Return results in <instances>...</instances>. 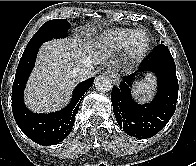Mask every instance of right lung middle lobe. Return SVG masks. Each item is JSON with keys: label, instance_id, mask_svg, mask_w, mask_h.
Listing matches in <instances>:
<instances>
[{"label": "right lung middle lobe", "instance_id": "obj_1", "mask_svg": "<svg viewBox=\"0 0 196 166\" xmlns=\"http://www.w3.org/2000/svg\"><path fill=\"white\" fill-rule=\"evenodd\" d=\"M70 24L66 19H53L44 23L40 29L31 38L26 48L33 46H41L42 43L49 41L53 38L66 37Z\"/></svg>", "mask_w": 196, "mask_h": 166}]
</instances>
